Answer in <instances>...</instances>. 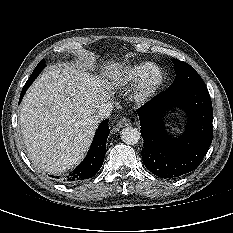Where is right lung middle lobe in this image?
I'll list each match as a JSON object with an SVG mask.
<instances>
[{
    "instance_id": "dd1d6c3e",
    "label": "right lung middle lobe",
    "mask_w": 233,
    "mask_h": 233,
    "mask_svg": "<svg viewBox=\"0 0 233 233\" xmlns=\"http://www.w3.org/2000/svg\"><path fill=\"white\" fill-rule=\"evenodd\" d=\"M45 67V60L42 59L41 62H39V64L36 66V68L34 69L33 73L31 74V76L29 77V79L35 80V78H37V76L40 74L41 70Z\"/></svg>"
}]
</instances>
